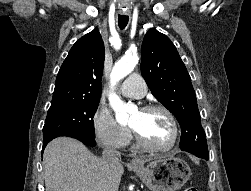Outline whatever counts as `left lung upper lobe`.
Listing matches in <instances>:
<instances>
[{
	"label": "left lung upper lobe",
	"mask_w": 251,
	"mask_h": 191,
	"mask_svg": "<svg viewBox=\"0 0 251 191\" xmlns=\"http://www.w3.org/2000/svg\"><path fill=\"white\" fill-rule=\"evenodd\" d=\"M141 73L153 96L177 118L182 132L180 149L208 158L191 78L174 44L155 29L142 42Z\"/></svg>",
	"instance_id": "1"
}]
</instances>
